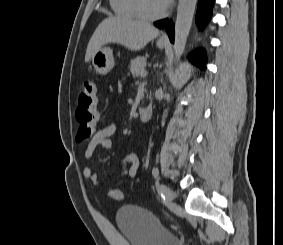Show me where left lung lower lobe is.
Returning a JSON list of instances; mask_svg holds the SVG:
<instances>
[{"label":"left lung lower lobe","mask_w":283,"mask_h":245,"mask_svg":"<svg viewBox=\"0 0 283 245\" xmlns=\"http://www.w3.org/2000/svg\"><path fill=\"white\" fill-rule=\"evenodd\" d=\"M215 0H198V9L196 15V22L198 26L203 27L209 21L212 14V6ZM157 27H164L167 24V32L170 41L174 40V25L172 21L168 22V19L157 21L154 23ZM189 60L200 68L204 69V54L197 52L189 57Z\"/></svg>","instance_id":"0a47b994"}]
</instances>
